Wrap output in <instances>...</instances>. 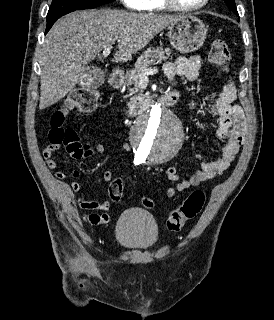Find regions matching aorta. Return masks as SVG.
Wrapping results in <instances>:
<instances>
[{
	"mask_svg": "<svg viewBox=\"0 0 274 320\" xmlns=\"http://www.w3.org/2000/svg\"><path fill=\"white\" fill-rule=\"evenodd\" d=\"M183 138V128L177 117L160 104L153 105L148 115L139 118L131 133L136 154L154 163L172 159L180 150Z\"/></svg>",
	"mask_w": 274,
	"mask_h": 320,
	"instance_id": "aorta-1",
	"label": "aorta"
}]
</instances>
